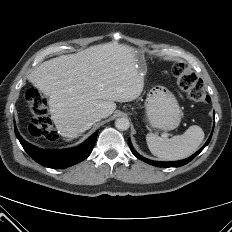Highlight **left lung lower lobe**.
Segmentation results:
<instances>
[{
    "mask_svg": "<svg viewBox=\"0 0 232 232\" xmlns=\"http://www.w3.org/2000/svg\"><path fill=\"white\" fill-rule=\"evenodd\" d=\"M212 137V133L209 137V139L207 140V142L205 143V145L200 149L198 150L195 154H193L191 157L185 159V160H181V161H175V162H159V161H152V160H149V159H146L144 157H142L141 155H139L132 147L131 145V142L130 140L128 141V144H129V147L132 151V153L137 157L139 158L140 160L148 163V164H151V165H154V166H158V167H180V166H183L185 164H187L188 162H190L193 158H195L207 145L208 143L210 142V139Z\"/></svg>",
    "mask_w": 232,
    "mask_h": 232,
    "instance_id": "obj_1",
    "label": "left lung lower lobe"
}]
</instances>
